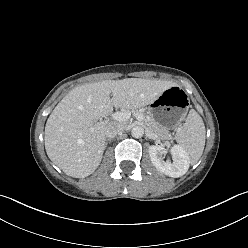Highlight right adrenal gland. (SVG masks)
I'll return each instance as SVG.
<instances>
[{"label":"right adrenal gland","mask_w":248,"mask_h":248,"mask_svg":"<svg viewBox=\"0 0 248 248\" xmlns=\"http://www.w3.org/2000/svg\"><path fill=\"white\" fill-rule=\"evenodd\" d=\"M108 141H111V139L110 138H108L107 140H106V146H107V144H108Z\"/></svg>","instance_id":"1"}]
</instances>
